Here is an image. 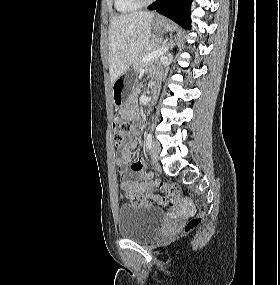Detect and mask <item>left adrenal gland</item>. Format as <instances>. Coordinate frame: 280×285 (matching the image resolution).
I'll list each match as a JSON object with an SVG mask.
<instances>
[{
	"label": "left adrenal gland",
	"instance_id": "left-adrenal-gland-1",
	"mask_svg": "<svg viewBox=\"0 0 280 285\" xmlns=\"http://www.w3.org/2000/svg\"><path fill=\"white\" fill-rule=\"evenodd\" d=\"M173 45H174V44H173V40L171 39V40L169 41V43H168V48H169V47H173Z\"/></svg>",
	"mask_w": 280,
	"mask_h": 285
}]
</instances>
